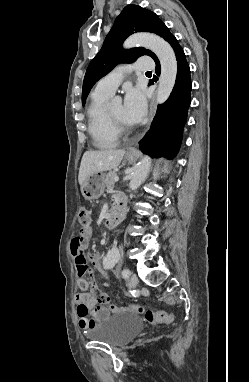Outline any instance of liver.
<instances>
[{
  "instance_id": "1",
  "label": "liver",
  "mask_w": 249,
  "mask_h": 382,
  "mask_svg": "<svg viewBox=\"0 0 249 382\" xmlns=\"http://www.w3.org/2000/svg\"><path fill=\"white\" fill-rule=\"evenodd\" d=\"M125 154L123 149L90 150L82 157L78 181L82 186L86 178L95 172H103L117 168Z\"/></svg>"
}]
</instances>
